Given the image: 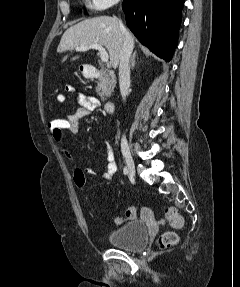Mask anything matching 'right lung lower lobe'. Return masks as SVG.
I'll use <instances>...</instances> for the list:
<instances>
[{
    "instance_id": "obj_1",
    "label": "right lung lower lobe",
    "mask_w": 240,
    "mask_h": 287,
    "mask_svg": "<svg viewBox=\"0 0 240 287\" xmlns=\"http://www.w3.org/2000/svg\"><path fill=\"white\" fill-rule=\"evenodd\" d=\"M184 0H124L126 24L153 53L170 61L177 45Z\"/></svg>"
}]
</instances>
